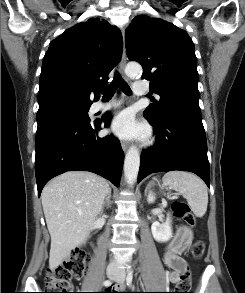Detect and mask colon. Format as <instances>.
<instances>
[{
	"label": "colon",
	"mask_w": 245,
	"mask_h": 293,
	"mask_svg": "<svg viewBox=\"0 0 245 293\" xmlns=\"http://www.w3.org/2000/svg\"><path fill=\"white\" fill-rule=\"evenodd\" d=\"M175 216L183 219L188 225L196 223L195 216L190 212L189 206L184 201H175L172 204ZM204 241L196 239L191 246V254L195 259L202 258L204 254ZM88 256L80 251H71L68 256L58 265L48 267L45 278V293H77L72 292V280L81 278L86 271ZM191 284L189 271L181 274L177 285L179 291L187 289ZM183 293V292H178Z\"/></svg>",
	"instance_id": "1"
}]
</instances>
